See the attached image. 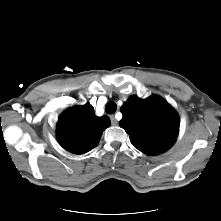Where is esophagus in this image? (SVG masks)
<instances>
[{
    "instance_id": "obj_1",
    "label": "esophagus",
    "mask_w": 221,
    "mask_h": 221,
    "mask_svg": "<svg viewBox=\"0 0 221 221\" xmlns=\"http://www.w3.org/2000/svg\"><path fill=\"white\" fill-rule=\"evenodd\" d=\"M110 120H111L112 125H117L118 122L114 115L110 116Z\"/></svg>"
}]
</instances>
